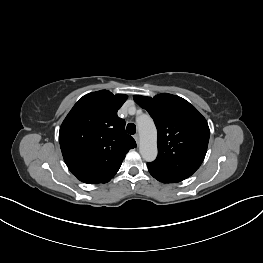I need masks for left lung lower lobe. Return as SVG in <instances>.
Segmentation results:
<instances>
[{"instance_id":"obj_1","label":"left lung lower lobe","mask_w":263,"mask_h":263,"mask_svg":"<svg viewBox=\"0 0 263 263\" xmlns=\"http://www.w3.org/2000/svg\"><path fill=\"white\" fill-rule=\"evenodd\" d=\"M149 172L154 178H156L160 182H163V183L179 182L177 180H172V179H168V178L162 177V176H160V175H158V174H156V173H154L152 171H149Z\"/></svg>"}]
</instances>
